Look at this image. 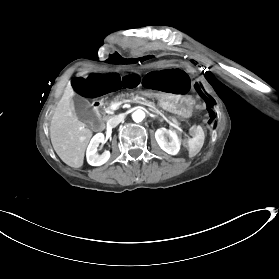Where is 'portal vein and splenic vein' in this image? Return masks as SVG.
<instances>
[{
    "mask_svg": "<svg viewBox=\"0 0 279 279\" xmlns=\"http://www.w3.org/2000/svg\"><path fill=\"white\" fill-rule=\"evenodd\" d=\"M130 102L142 103V104H144V106L146 108L154 109L155 113L157 115H161L166 120L167 124H169L170 126H173L174 128L180 129V131H182V134L187 136V138H190V134L185 132V131H183V128H181V126H177L176 124H173L172 122H170V120L168 119L167 115H165L164 113H161L157 108H155V106L147 104V102L145 100H136V99H130L129 100V99H125L124 102H121L119 104H113L112 106H110V109L117 110L118 107H120L122 105H126L127 103H130Z\"/></svg>",
    "mask_w": 279,
    "mask_h": 279,
    "instance_id": "portal-vein-and-splenic-vein-1",
    "label": "portal vein and splenic vein"
}]
</instances>
